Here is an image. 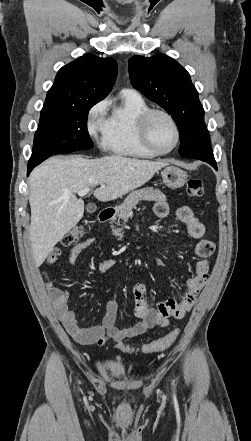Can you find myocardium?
<instances>
[{
  "label": "myocardium",
  "instance_id": "myocardium-1",
  "mask_svg": "<svg viewBox=\"0 0 251 441\" xmlns=\"http://www.w3.org/2000/svg\"><path fill=\"white\" fill-rule=\"evenodd\" d=\"M155 115L165 116L169 120V122L171 123V125L173 126L174 131H175V143L170 149H168L166 151L158 149L157 147L154 146V144L151 141L150 124H151V121ZM138 130H139L140 139H141L143 145L149 151L154 153L155 155H167V154L173 152L178 147V145L180 143L181 133H180L179 126H178L175 118L173 117V115L163 109H152L151 108V109L147 110L146 112H144L141 115V117L139 118Z\"/></svg>",
  "mask_w": 251,
  "mask_h": 441
}]
</instances>
